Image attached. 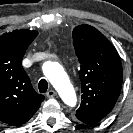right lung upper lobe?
<instances>
[{
	"mask_svg": "<svg viewBox=\"0 0 133 133\" xmlns=\"http://www.w3.org/2000/svg\"><path fill=\"white\" fill-rule=\"evenodd\" d=\"M37 31L15 30L0 37V121L9 126L27 122L44 96L35 92L21 63Z\"/></svg>",
	"mask_w": 133,
	"mask_h": 133,
	"instance_id": "1",
	"label": "right lung upper lobe"
}]
</instances>
